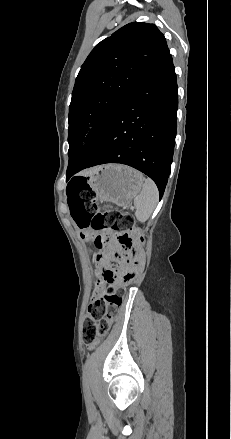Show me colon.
Returning a JSON list of instances; mask_svg holds the SVG:
<instances>
[{
    "label": "colon",
    "mask_w": 231,
    "mask_h": 439,
    "mask_svg": "<svg viewBox=\"0 0 231 439\" xmlns=\"http://www.w3.org/2000/svg\"><path fill=\"white\" fill-rule=\"evenodd\" d=\"M66 193L71 215L82 231L96 232L95 241L102 243L108 241L104 231L112 229L120 246V250L106 257L103 278L108 286L92 301L89 316L84 321L83 338L90 345L108 333L121 305L125 286L136 279L143 263L141 245L144 237L130 214L116 209L99 212L94 202L95 192L86 180L72 181ZM123 262H126L124 267Z\"/></svg>",
    "instance_id": "colon-1"
}]
</instances>
